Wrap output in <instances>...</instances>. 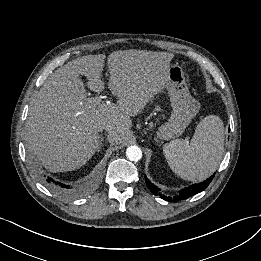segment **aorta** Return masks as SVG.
Returning a JSON list of instances; mask_svg holds the SVG:
<instances>
[{
  "label": "aorta",
  "instance_id": "762f6f07",
  "mask_svg": "<svg viewBox=\"0 0 261 261\" xmlns=\"http://www.w3.org/2000/svg\"><path fill=\"white\" fill-rule=\"evenodd\" d=\"M126 156L130 161L137 162L142 158V151L138 146H129L126 150Z\"/></svg>",
  "mask_w": 261,
  "mask_h": 261
}]
</instances>
